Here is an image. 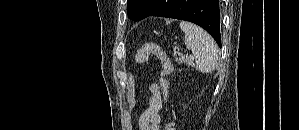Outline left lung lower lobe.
I'll return each instance as SVG.
<instances>
[{
  "label": "left lung lower lobe",
  "mask_w": 299,
  "mask_h": 130,
  "mask_svg": "<svg viewBox=\"0 0 299 130\" xmlns=\"http://www.w3.org/2000/svg\"><path fill=\"white\" fill-rule=\"evenodd\" d=\"M149 3L142 19L161 16L193 22L210 33L221 47L219 0H149Z\"/></svg>",
  "instance_id": "1"
}]
</instances>
